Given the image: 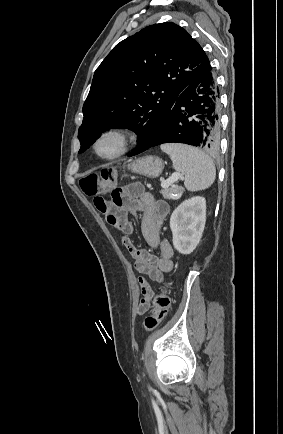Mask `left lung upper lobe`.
Returning <instances> with one entry per match:
<instances>
[{
	"label": "left lung upper lobe",
	"mask_w": 283,
	"mask_h": 434,
	"mask_svg": "<svg viewBox=\"0 0 283 434\" xmlns=\"http://www.w3.org/2000/svg\"><path fill=\"white\" fill-rule=\"evenodd\" d=\"M210 68L202 47L175 23L154 24L121 41L95 71L83 105L79 153L110 128L133 130L134 152L149 146L180 93Z\"/></svg>",
	"instance_id": "1"
}]
</instances>
